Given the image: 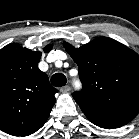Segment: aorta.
I'll use <instances>...</instances> for the list:
<instances>
[{"label": "aorta", "instance_id": "obj_1", "mask_svg": "<svg viewBox=\"0 0 139 139\" xmlns=\"http://www.w3.org/2000/svg\"><path fill=\"white\" fill-rule=\"evenodd\" d=\"M76 87L79 89V88H80V84H79V83H77V84H76Z\"/></svg>", "mask_w": 139, "mask_h": 139}]
</instances>
